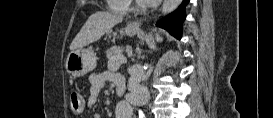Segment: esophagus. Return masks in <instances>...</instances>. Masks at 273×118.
Segmentation results:
<instances>
[{"label": "esophagus", "mask_w": 273, "mask_h": 118, "mask_svg": "<svg viewBox=\"0 0 273 118\" xmlns=\"http://www.w3.org/2000/svg\"><path fill=\"white\" fill-rule=\"evenodd\" d=\"M141 26V22L140 21H134L131 23V27L139 29Z\"/></svg>", "instance_id": "esophagus-1"}]
</instances>
